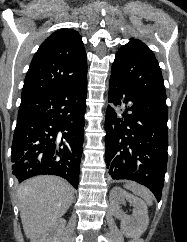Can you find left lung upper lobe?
Here are the masks:
<instances>
[{"label": "left lung upper lobe", "instance_id": "1", "mask_svg": "<svg viewBox=\"0 0 187 242\" xmlns=\"http://www.w3.org/2000/svg\"><path fill=\"white\" fill-rule=\"evenodd\" d=\"M111 77L141 94L166 103V91L158 61L153 52L138 39H130L118 50Z\"/></svg>", "mask_w": 187, "mask_h": 242}]
</instances>
